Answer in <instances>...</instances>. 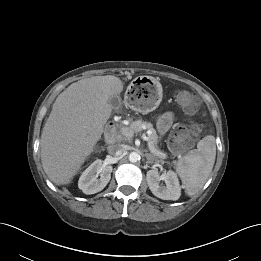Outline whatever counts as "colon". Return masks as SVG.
<instances>
[{"label": "colon", "mask_w": 261, "mask_h": 261, "mask_svg": "<svg viewBox=\"0 0 261 261\" xmlns=\"http://www.w3.org/2000/svg\"><path fill=\"white\" fill-rule=\"evenodd\" d=\"M175 99L179 106L187 113L195 112L199 106V100L196 95L186 89L175 91ZM200 126L191 124L188 127L178 128L169 139V146L173 153H181L190 149L193 145L192 134L198 132Z\"/></svg>", "instance_id": "colon-1"}]
</instances>
